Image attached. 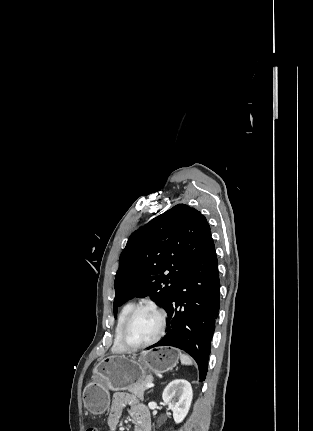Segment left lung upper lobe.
<instances>
[{"label": "left lung upper lobe", "mask_w": 313, "mask_h": 431, "mask_svg": "<svg viewBox=\"0 0 313 431\" xmlns=\"http://www.w3.org/2000/svg\"><path fill=\"white\" fill-rule=\"evenodd\" d=\"M211 236L206 218L178 204L133 232L115 277L114 316L133 297L150 296L164 309Z\"/></svg>", "instance_id": "1"}]
</instances>
